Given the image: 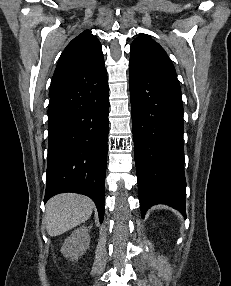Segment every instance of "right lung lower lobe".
I'll list each match as a JSON object with an SVG mask.
<instances>
[{"label":"right lung lower lobe","mask_w":231,"mask_h":286,"mask_svg":"<svg viewBox=\"0 0 231 286\" xmlns=\"http://www.w3.org/2000/svg\"><path fill=\"white\" fill-rule=\"evenodd\" d=\"M108 113L106 72L50 97L44 202L63 192L87 195L103 221Z\"/></svg>","instance_id":"98d812e1"}]
</instances>
